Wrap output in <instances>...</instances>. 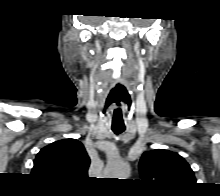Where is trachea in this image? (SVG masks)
Here are the masks:
<instances>
[{
  "label": "trachea",
  "instance_id": "obj_1",
  "mask_svg": "<svg viewBox=\"0 0 220 196\" xmlns=\"http://www.w3.org/2000/svg\"><path fill=\"white\" fill-rule=\"evenodd\" d=\"M112 131H113L116 135H119V134H121L122 132L125 131V128H112Z\"/></svg>",
  "mask_w": 220,
  "mask_h": 196
}]
</instances>
